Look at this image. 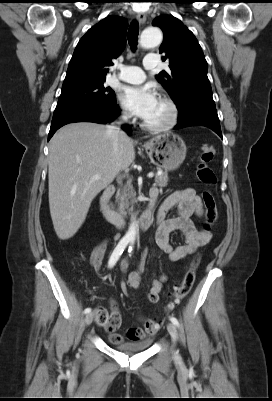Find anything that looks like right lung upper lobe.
I'll return each mask as SVG.
<instances>
[{
    "mask_svg": "<svg viewBox=\"0 0 272 401\" xmlns=\"http://www.w3.org/2000/svg\"><path fill=\"white\" fill-rule=\"evenodd\" d=\"M127 27L124 18L111 15L90 28L75 48L62 90L105 80L126 46Z\"/></svg>",
    "mask_w": 272,
    "mask_h": 401,
    "instance_id": "1",
    "label": "right lung upper lobe"
}]
</instances>
